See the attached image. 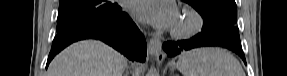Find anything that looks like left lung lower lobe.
Wrapping results in <instances>:
<instances>
[{
  "label": "left lung lower lobe",
  "instance_id": "0a47b994",
  "mask_svg": "<svg viewBox=\"0 0 287 76\" xmlns=\"http://www.w3.org/2000/svg\"><path fill=\"white\" fill-rule=\"evenodd\" d=\"M204 46H222L235 53H237L243 61L246 63L244 53L242 51L240 39L228 37L214 33L207 29L205 26L202 28V32L194 36L189 40L166 42L163 44V49L168 56L173 57L179 54L183 50H189L196 47Z\"/></svg>",
  "mask_w": 287,
  "mask_h": 76
}]
</instances>
